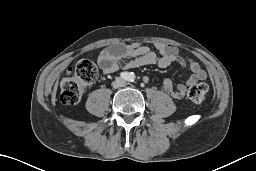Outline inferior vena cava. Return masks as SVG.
<instances>
[{"label":"inferior vena cava","instance_id":"1","mask_svg":"<svg viewBox=\"0 0 256 171\" xmlns=\"http://www.w3.org/2000/svg\"><path fill=\"white\" fill-rule=\"evenodd\" d=\"M113 88L124 87L126 85V81L120 77L116 78L112 83Z\"/></svg>","mask_w":256,"mask_h":171}]
</instances>
